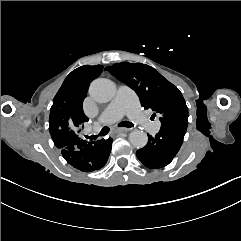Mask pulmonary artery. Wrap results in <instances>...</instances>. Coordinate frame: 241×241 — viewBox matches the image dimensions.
<instances>
[{"mask_svg":"<svg viewBox=\"0 0 241 241\" xmlns=\"http://www.w3.org/2000/svg\"><path fill=\"white\" fill-rule=\"evenodd\" d=\"M138 96L128 87L119 88L115 98L109 102L108 108H102L97 113V118L102 123L115 121L125 114L134 122L139 123L140 128L147 134L153 135L158 132L159 124L156 119L147 116L146 110L140 106Z\"/></svg>","mask_w":241,"mask_h":241,"instance_id":"1","label":"pulmonary artery"}]
</instances>
